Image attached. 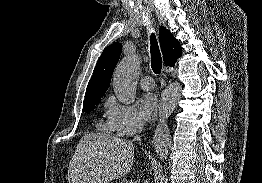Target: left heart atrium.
I'll use <instances>...</instances> for the list:
<instances>
[{
	"mask_svg": "<svg viewBox=\"0 0 262 183\" xmlns=\"http://www.w3.org/2000/svg\"><path fill=\"white\" fill-rule=\"evenodd\" d=\"M139 112L141 117L146 120H152L158 110V100L154 94H145L139 99Z\"/></svg>",
	"mask_w": 262,
	"mask_h": 183,
	"instance_id": "obj_1",
	"label": "left heart atrium"
}]
</instances>
